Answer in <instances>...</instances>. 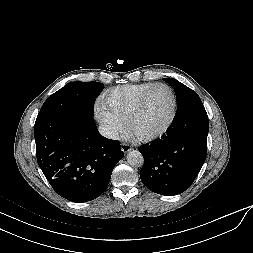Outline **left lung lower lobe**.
Here are the masks:
<instances>
[{"label":"left lung lower lobe","instance_id":"left-lung-lower-lobe-1","mask_svg":"<svg viewBox=\"0 0 253 253\" xmlns=\"http://www.w3.org/2000/svg\"><path fill=\"white\" fill-rule=\"evenodd\" d=\"M208 131L203 104L178 112L161 139L138 148L145 159L140 173L143 184L168 196L188 189L205 162Z\"/></svg>","mask_w":253,"mask_h":253}]
</instances>
